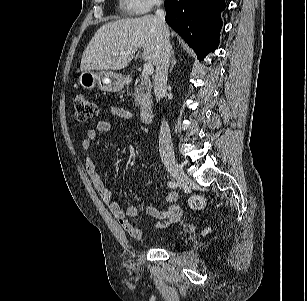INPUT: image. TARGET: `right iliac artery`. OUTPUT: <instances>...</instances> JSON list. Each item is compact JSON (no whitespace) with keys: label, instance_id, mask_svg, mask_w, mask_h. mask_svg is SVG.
<instances>
[{"label":"right iliac artery","instance_id":"82829eb1","mask_svg":"<svg viewBox=\"0 0 307 301\" xmlns=\"http://www.w3.org/2000/svg\"><path fill=\"white\" fill-rule=\"evenodd\" d=\"M168 186L170 188H177L178 187V182H176L175 180H171L168 182Z\"/></svg>","mask_w":307,"mask_h":301}]
</instances>
